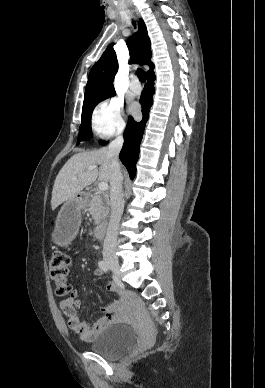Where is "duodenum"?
I'll use <instances>...</instances> for the list:
<instances>
[{
    "instance_id": "obj_1",
    "label": "duodenum",
    "mask_w": 265,
    "mask_h": 388,
    "mask_svg": "<svg viewBox=\"0 0 265 388\" xmlns=\"http://www.w3.org/2000/svg\"><path fill=\"white\" fill-rule=\"evenodd\" d=\"M87 199H88V194L87 193H80V194H78V200L80 202H82V203L86 202ZM107 226H108V222L107 221H103L100 224H98L96 229H95V235L98 238H102L105 235V233H106Z\"/></svg>"
}]
</instances>
